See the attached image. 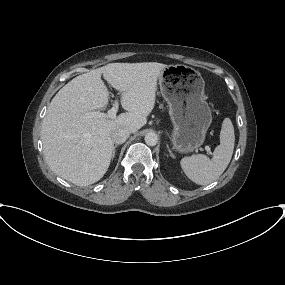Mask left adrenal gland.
<instances>
[{"label":"left adrenal gland","mask_w":285,"mask_h":285,"mask_svg":"<svg viewBox=\"0 0 285 285\" xmlns=\"http://www.w3.org/2000/svg\"><path fill=\"white\" fill-rule=\"evenodd\" d=\"M167 148H168V151H169L170 156L173 157V153H172V151L170 150V148H169L168 145H167Z\"/></svg>","instance_id":"a2214340"}]
</instances>
